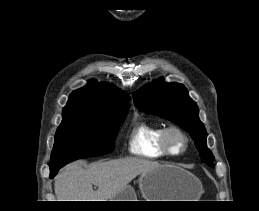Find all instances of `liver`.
I'll return each mask as SVG.
<instances>
[{
  "mask_svg": "<svg viewBox=\"0 0 259 211\" xmlns=\"http://www.w3.org/2000/svg\"><path fill=\"white\" fill-rule=\"evenodd\" d=\"M82 164L73 162L57 176L54 183L57 201H110L136 176L161 166L141 158L99 161L88 168ZM93 185L98 187L96 191Z\"/></svg>",
  "mask_w": 259,
  "mask_h": 211,
  "instance_id": "obj_1",
  "label": "liver"
}]
</instances>
